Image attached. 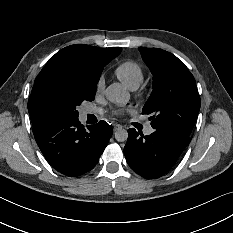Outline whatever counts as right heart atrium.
Listing matches in <instances>:
<instances>
[{
  "instance_id": "1",
  "label": "right heart atrium",
  "mask_w": 233,
  "mask_h": 233,
  "mask_svg": "<svg viewBox=\"0 0 233 233\" xmlns=\"http://www.w3.org/2000/svg\"><path fill=\"white\" fill-rule=\"evenodd\" d=\"M104 85H105L104 79H103V78H100V79L98 80V82H97V85H96V90H97V92L103 91Z\"/></svg>"
}]
</instances>
